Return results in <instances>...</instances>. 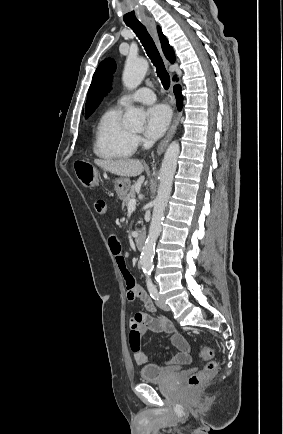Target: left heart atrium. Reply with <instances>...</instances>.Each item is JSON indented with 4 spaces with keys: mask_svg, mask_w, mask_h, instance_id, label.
<instances>
[{
    "mask_svg": "<svg viewBox=\"0 0 283 434\" xmlns=\"http://www.w3.org/2000/svg\"><path fill=\"white\" fill-rule=\"evenodd\" d=\"M171 121V111L164 104L151 106L146 112L144 134L148 139L157 140L167 130Z\"/></svg>",
    "mask_w": 283,
    "mask_h": 434,
    "instance_id": "left-heart-atrium-1",
    "label": "left heart atrium"
}]
</instances>
